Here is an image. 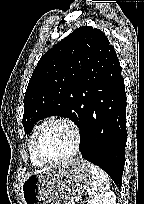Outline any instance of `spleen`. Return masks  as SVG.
<instances>
[{
    "instance_id": "3e777b00",
    "label": "spleen",
    "mask_w": 144,
    "mask_h": 204,
    "mask_svg": "<svg viewBox=\"0 0 144 204\" xmlns=\"http://www.w3.org/2000/svg\"><path fill=\"white\" fill-rule=\"evenodd\" d=\"M91 185L87 190L89 196L93 199L102 197L110 185L108 175L100 167L91 164Z\"/></svg>"
}]
</instances>
